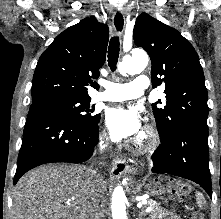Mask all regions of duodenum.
I'll list each match as a JSON object with an SVG mask.
<instances>
[{
	"mask_svg": "<svg viewBox=\"0 0 221 219\" xmlns=\"http://www.w3.org/2000/svg\"><path fill=\"white\" fill-rule=\"evenodd\" d=\"M71 219H83L82 217H79V216H74L72 217Z\"/></svg>",
	"mask_w": 221,
	"mask_h": 219,
	"instance_id": "obj_1",
	"label": "duodenum"
}]
</instances>
